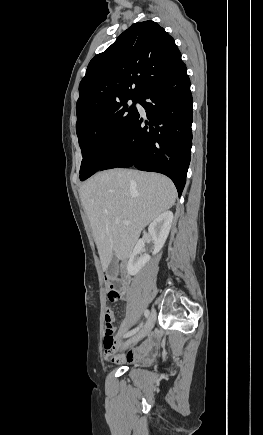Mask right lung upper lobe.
I'll return each mask as SVG.
<instances>
[{
	"label": "right lung upper lobe",
	"mask_w": 263,
	"mask_h": 435,
	"mask_svg": "<svg viewBox=\"0 0 263 435\" xmlns=\"http://www.w3.org/2000/svg\"><path fill=\"white\" fill-rule=\"evenodd\" d=\"M182 63L174 39L159 24H133L90 61L79 85L76 128L114 103L140 99Z\"/></svg>",
	"instance_id": "cb5924a9"
}]
</instances>
